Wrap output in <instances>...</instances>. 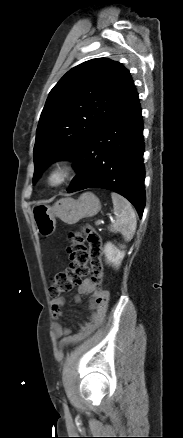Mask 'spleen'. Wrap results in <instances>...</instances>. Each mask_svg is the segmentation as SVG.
Listing matches in <instances>:
<instances>
[{
    "mask_svg": "<svg viewBox=\"0 0 183 438\" xmlns=\"http://www.w3.org/2000/svg\"><path fill=\"white\" fill-rule=\"evenodd\" d=\"M116 220L109 227L111 232H120L125 241H130L136 231L135 212L128 200L116 193H111Z\"/></svg>",
    "mask_w": 183,
    "mask_h": 438,
    "instance_id": "3e777b00",
    "label": "spleen"
}]
</instances>
